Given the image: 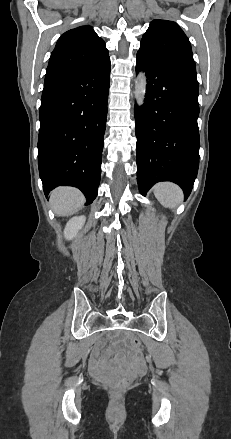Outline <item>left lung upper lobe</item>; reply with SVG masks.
Masks as SVG:
<instances>
[{"instance_id": "1", "label": "left lung upper lobe", "mask_w": 231, "mask_h": 439, "mask_svg": "<svg viewBox=\"0 0 231 439\" xmlns=\"http://www.w3.org/2000/svg\"><path fill=\"white\" fill-rule=\"evenodd\" d=\"M137 53L159 63L196 69L190 41L173 21L153 20L142 37Z\"/></svg>"}]
</instances>
